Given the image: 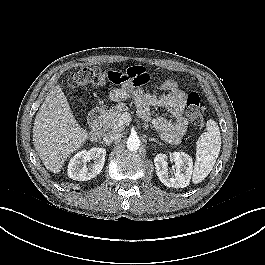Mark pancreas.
<instances>
[{
  "label": "pancreas",
  "instance_id": "obj_1",
  "mask_svg": "<svg viewBox=\"0 0 265 265\" xmlns=\"http://www.w3.org/2000/svg\"><path fill=\"white\" fill-rule=\"evenodd\" d=\"M128 108L124 103H119L115 107L107 110L103 117V129L108 132H121L125 126L119 125L121 115L125 114Z\"/></svg>",
  "mask_w": 265,
  "mask_h": 265
}]
</instances>
